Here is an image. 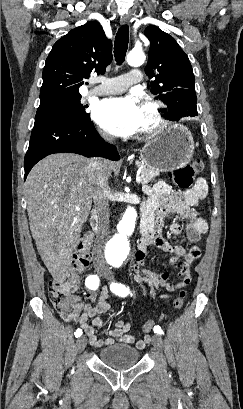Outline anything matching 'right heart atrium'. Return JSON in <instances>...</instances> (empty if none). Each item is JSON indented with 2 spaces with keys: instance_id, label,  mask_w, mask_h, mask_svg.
Here are the masks:
<instances>
[{
  "instance_id": "d8ad5b80",
  "label": "right heart atrium",
  "mask_w": 243,
  "mask_h": 409,
  "mask_svg": "<svg viewBox=\"0 0 243 409\" xmlns=\"http://www.w3.org/2000/svg\"><path fill=\"white\" fill-rule=\"evenodd\" d=\"M100 134H101V136H102L103 138H107V135H106L105 133L100 132Z\"/></svg>"
}]
</instances>
